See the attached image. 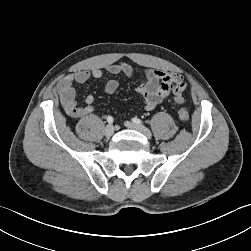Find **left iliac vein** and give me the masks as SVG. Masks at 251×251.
<instances>
[{"label": "left iliac vein", "instance_id": "1", "mask_svg": "<svg viewBox=\"0 0 251 251\" xmlns=\"http://www.w3.org/2000/svg\"><path fill=\"white\" fill-rule=\"evenodd\" d=\"M125 126L133 129V130H137L139 132H141L142 134H144L148 139H151L152 137V133L150 132L149 129H147L145 126L143 125H138V124H134L132 122L126 121L125 122Z\"/></svg>", "mask_w": 251, "mask_h": 251}]
</instances>
